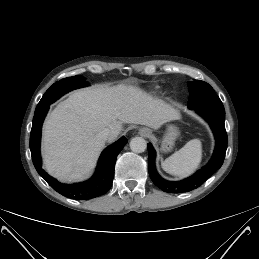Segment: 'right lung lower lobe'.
<instances>
[{
  "label": "right lung lower lobe",
  "mask_w": 259,
  "mask_h": 259,
  "mask_svg": "<svg viewBox=\"0 0 259 259\" xmlns=\"http://www.w3.org/2000/svg\"><path fill=\"white\" fill-rule=\"evenodd\" d=\"M48 109L49 105L35 110L30 134L31 156L37 172L54 190L68 198L88 200L103 195L112 185L116 158L124 145L127 143V139L125 137L120 138L102 152L98 161L96 172L91 179L82 183L71 185L62 184L46 174L41 167V128Z\"/></svg>",
  "instance_id": "98d812e1"
}]
</instances>
